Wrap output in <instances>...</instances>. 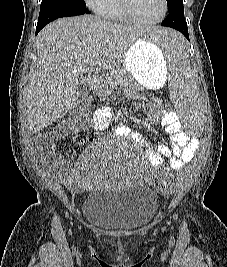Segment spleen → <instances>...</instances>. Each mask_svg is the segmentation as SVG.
<instances>
[{
	"mask_svg": "<svg viewBox=\"0 0 227 267\" xmlns=\"http://www.w3.org/2000/svg\"><path fill=\"white\" fill-rule=\"evenodd\" d=\"M137 30H150L144 41L157 43L159 55H165L170 63L168 82L171 99L179 107L176 115H202L199 89L189 72L188 50L182 33L168 29V25H137ZM181 124L188 137H201L204 134L202 116H181Z\"/></svg>",
	"mask_w": 227,
	"mask_h": 267,
	"instance_id": "spleen-1",
	"label": "spleen"
}]
</instances>
